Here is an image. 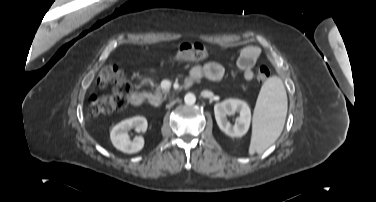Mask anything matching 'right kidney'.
<instances>
[{"instance_id":"1","label":"right kidney","mask_w":376,"mask_h":202,"mask_svg":"<svg viewBox=\"0 0 376 202\" xmlns=\"http://www.w3.org/2000/svg\"><path fill=\"white\" fill-rule=\"evenodd\" d=\"M147 126V120L142 116L125 119L112 128L110 132L111 142L118 150L124 153H137L144 147V139L142 137H135L131 141L128 131L134 128L137 132H145Z\"/></svg>"}]
</instances>
